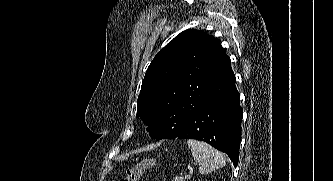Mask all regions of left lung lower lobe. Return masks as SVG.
Segmentation results:
<instances>
[{"label":"left lung lower lobe","mask_w":333,"mask_h":181,"mask_svg":"<svg viewBox=\"0 0 333 181\" xmlns=\"http://www.w3.org/2000/svg\"><path fill=\"white\" fill-rule=\"evenodd\" d=\"M230 69L211 89L203 105L193 113L168 121L171 133L160 139L192 138L205 141L225 152L234 166L238 164L242 108Z\"/></svg>","instance_id":"left-lung-lower-lobe-1"}]
</instances>
